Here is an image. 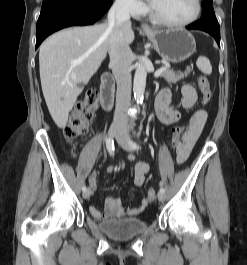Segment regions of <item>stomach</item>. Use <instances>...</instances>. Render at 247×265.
<instances>
[{
  "instance_id": "stomach-1",
  "label": "stomach",
  "mask_w": 247,
  "mask_h": 265,
  "mask_svg": "<svg viewBox=\"0 0 247 265\" xmlns=\"http://www.w3.org/2000/svg\"><path fill=\"white\" fill-rule=\"evenodd\" d=\"M152 42L160 57L171 63L182 62L196 51V42L184 29H151L144 33Z\"/></svg>"
}]
</instances>
